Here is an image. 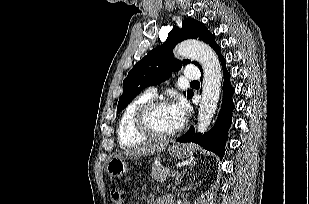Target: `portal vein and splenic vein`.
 <instances>
[{
    "label": "portal vein and splenic vein",
    "mask_w": 309,
    "mask_h": 204,
    "mask_svg": "<svg viewBox=\"0 0 309 204\" xmlns=\"http://www.w3.org/2000/svg\"><path fill=\"white\" fill-rule=\"evenodd\" d=\"M177 174H178V170H177V171L174 170V171L171 172V175H172V176H175V175H177Z\"/></svg>",
    "instance_id": "obj_1"
}]
</instances>
